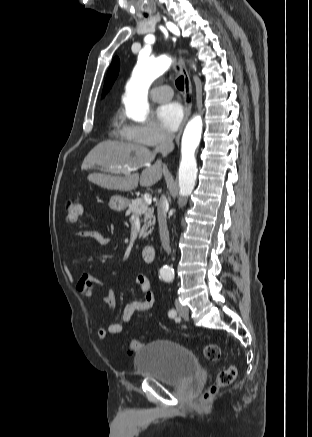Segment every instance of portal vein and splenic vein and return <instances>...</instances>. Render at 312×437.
I'll use <instances>...</instances> for the list:
<instances>
[{
  "label": "portal vein and splenic vein",
  "instance_id": "1",
  "mask_svg": "<svg viewBox=\"0 0 312 437\" xmlns=\"http://www.w3.org/2000/svg\"><path fill=\"white\" fill-rule=\"evenodd\" d=\"M114 169H116V168H113V170ZM132 169H130V168H128V173H130V171H131ZM144 200H145V202L146 203H148V204H151V202H152V197L149 195V194H144Z\"/></svg>",
  "mask_w": 312,
  "mask_h": 437
}]
</instances>
